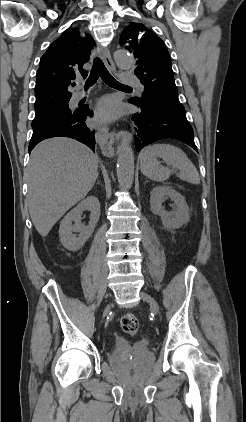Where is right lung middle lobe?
Segmentation results:
<instances>
[{
    "label": "right lung middle lobe",
    "instance_id": "obj_1",
    "mask_svg": "<svg viewBox=\"0 0 246 422\" xmlns=\"http://www.w3.org/2000/svg\"><path fill=\"white\" fill-rule=\"evenodd\" d=\"M68 102L63 101L44 108L35 109V118L32 126L52 119L71 117L75 111L69 109Z\"/></svg>",
    "mask_w": 246,
    "mask_h": 422
}]
</instances>
